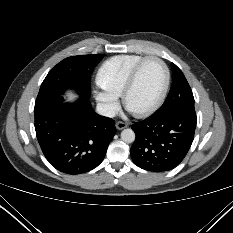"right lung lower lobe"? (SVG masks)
<instances>
[{"label":"right lung lower lobe","mask_w":233,"mask_h":233,"mask_svg":"<svg viewBox=\"0 0 233 233\" xmlns=\"http://www.w3.org/2000/svg\"><path fill=\"white\" fill-rule=\"evenodd\" d=\"M34 115L44 156L66 174L97 167L116 132L114 120L96 114L87 97L68 104L60 95L51 96L35 104Z\"/></svg>","instance_id":"obj_1"}]
</instances>
